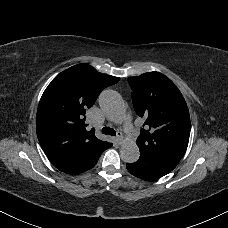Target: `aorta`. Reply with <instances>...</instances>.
<instances>
[{
  "label": "aorta",
  "instance_id": "1",
  "mask_svg": "<svg viewBox=\"0 0 228 228\" xmlns=\"http://www.w3.org/2000/svg\"><path fill=\"white\" fill-rule=\"evenodd\" d=\"M99 105L104 113L112 121L121 122L125 114V105L121 96L114 90H104L99 96ZM121 158L128 163H134L139 159L140 151L133 140H125L121 145Z\"/></svg>",
  "mask_w": 228,
  "mask_h": 228
}]
</instances>
